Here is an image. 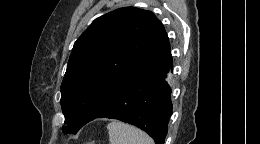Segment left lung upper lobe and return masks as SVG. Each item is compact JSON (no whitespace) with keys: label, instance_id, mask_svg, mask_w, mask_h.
Returning a JSON list of instances; mask_svg holds the SVG:
<instances>
[{"label":"left lung upper lobe","instance_id":"5c2ea615","mask_svg":"<svg viewBox=\"0 0 260 144\" xmlns=\"http://www.w3.org/2000/svg\"><path fill=\"white\" fill-rule=\"evenodd\" d=\"M169 45L167 33L151 11L123 7L95 19L74 43L61 84L65 123L76 134L105 109L121 81ZM164 77L172 62H158ZM86 105L78 107L76 103Z\"/></svg>","mask_w":260,"mask_h":144}]
</instances>
